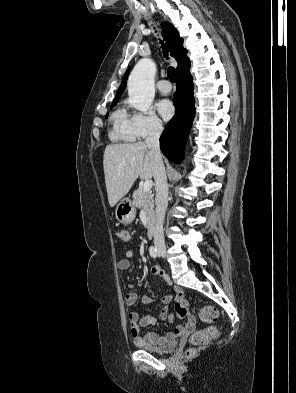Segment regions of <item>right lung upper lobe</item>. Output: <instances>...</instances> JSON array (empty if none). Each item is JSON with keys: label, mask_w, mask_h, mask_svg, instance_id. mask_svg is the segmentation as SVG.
<instances>
[{"label": "right lung upper lobe", "mask_w": 296, "mask_h": 393, "mask_svg": "<svg viewBox=\"0 0 296 393\" xmlns=\"http://www.w3.org/2000/svg\"><path fill=\"white\" fill-rule=\"evenodd\" d=\"M161 28H162V35L164 39L167 41V46L169 48V51L171 52V55L175 57V59L177 60L178 66L176 70L178 73L183 67H185L190 63V60L187 57V50L183 48V39L180 38L178 31L171 23L163 22L161 24ZM128 74H129V69L127 70L126 74L123 77V81L117 91L114 101H118V98L122 94L126 86V80L128 78Z\"/></svg>", "instance_id": "1"}]
</instances>
